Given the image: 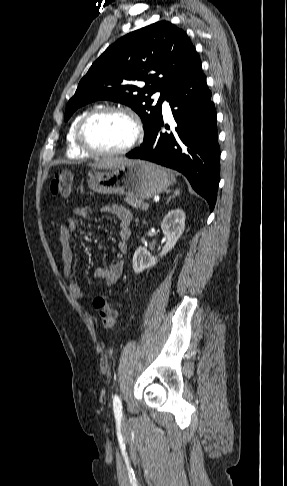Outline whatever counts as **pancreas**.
<instances>
[{
    "label": "pancreas",
    "mask_w": 287,
    "mask_h": 486,
    "mask_svg": "<svg viewBox=\"0 0 287 486\" xmlns=\"http://www.w3.org/2000/svg\"><path fill=\"white\" fill-rule=\"evenodd\" d=\"M125 201L133 206L135 209H142V206L145 204L142 200H139V199H134V198H131V197H126L125 198Z\"/></svg>",
    "instance_id": "pancreas-1"
}]
</instances>
